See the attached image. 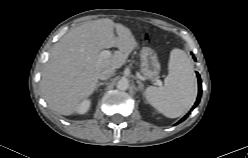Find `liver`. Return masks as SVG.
Here are the masks:
<instances>
[{
	"mask_svg": "<svg viewBox=\"0 0 248 158\" xmlns=\"http://www.w3.org/2000/svg\"><path fill=\"white\" fill-rule=\"evenodd\" d=\"M137 45L129 28L107 18L70 30L55 45L42 74L40 85L49 107L62 115L74 113L94 92L101 71L119 69ZM112 47L118 51L100 56Z\"/></svg>",
	"mask_w": 248,
	"mask_h": 158,
	"instance_id": "6515ba94",
	"label": "liver"
}]
</instances>
